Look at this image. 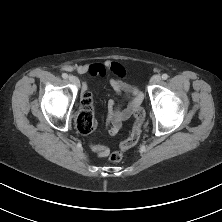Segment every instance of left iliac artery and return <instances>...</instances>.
Wrapping results in <instances>:
<instances>
[{
  "label": "left iliac artery",
  "instance_id": "left-iliac-artery-1",
  "mask_svg": "<svg viewBox=\"0 0 222 222\" xmlns=\"http://www.w3.org/2000/svg\"><path fill=\"white\" fill-rule=\"evenodd\" d=\"M168 77H169V76H168L166 73L162 75V79H163V80L168 79Z\"/></svg>",
  "mask_w": 222,
  "mask_h": 222
}]
</instances>
